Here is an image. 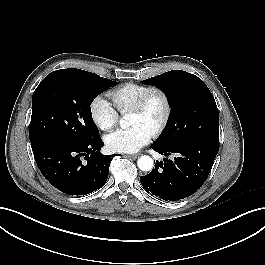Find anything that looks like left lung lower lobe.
<instances>
[{"instance_id":"0a47b994","label":"left lung lower lobe","mask_w":265,"mask_h":265,"mask_svg":"<svg viewBox=\"0 0 265 265\" xmlns=\"http://www.w3.org/2000/svg\"><path fill=\"white\" fill-rule=\"evenodd\" d=\"M153 150L164 155L175 156L173 160L155 164L148 175L141 176L143 188L166 201H177L195 193L207 179L218 151L196 143H183Z\"/></svg>"}]
</instances>
